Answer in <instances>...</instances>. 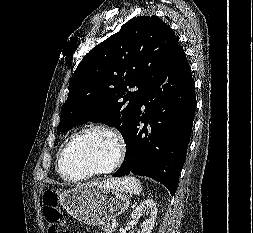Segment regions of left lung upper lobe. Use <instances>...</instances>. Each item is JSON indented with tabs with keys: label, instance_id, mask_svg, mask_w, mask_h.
Instances as JSON below:
<instances>
[{
	"label": "left lung upper lobe",
	"instance_id": "obj_1",
	"mask_svg": "<svg viewBox=\"0 0 253 233\" xmlns=\"http://www.w3.org/2000/svg\"><path fill=\"white\" fill-rule=\"evenodd\" d=\"M179 44L155 15L134 17L82 59L69 83L58 132L86 122L115 127L123 138L149 88L164 75ZM137 91H130L131 88Z\"/></svg>",
	"mask_w": 253,
	"mask_h": 233
}]
</instances>
